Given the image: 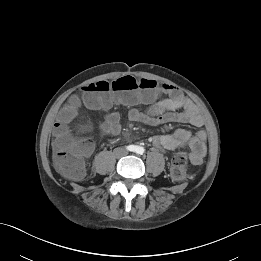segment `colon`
<instances>
[{
    "instance_id": "obj_1",
    "label": "colon",
    "mask_w": 261,
    "mask_h": 261,
    "mask_svg": "<svg viewBox=\"0 0 261 261\" xmlns=\"http://www.w3.org/2000/svg\"><path fill=\"white\" fill-rule=\"evenodd\" d=\"M162 84L152 79L125 76L115 81L101 80L92 82L82 88L85 101L93 107H101L109 102L105 99L111 96L113 104H135L154 100ZM76 114L74 106H69L63 112L62 124L56 129L57 143L61 148L56 152L54 163L60 173L66 177L78 180L85 172L84 154L88 143L76 139L68 123ZM189 156L185 151L177 152L171 162V176L176 181L188 178Z\"/></svg>"
}]
</instances>
